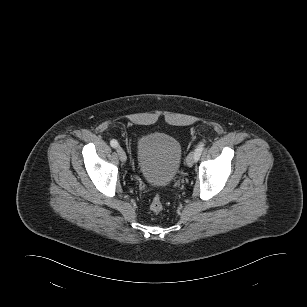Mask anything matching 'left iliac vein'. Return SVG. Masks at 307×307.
<instances>
[{
  "label": "left iliac vein",
  "mask_w": 307,
  "mask_h": 307,
  "mask_svg": "<svg viewBox=\"0 0 307 307\" xmlns=\"http://www.w3.org/2000/svg\"><path fill=\"white\" fill-rule=\"evenodd\" d=\"M194 162H195V152H191V153L188 154V156L186 158V165L188 167H192Z\"/></svg>",
  "instance_id": "left-iliac-vein-1"
}]
</instances>
